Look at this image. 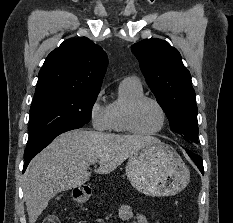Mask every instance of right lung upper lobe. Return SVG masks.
Here are the masks:
<instances>
[{
	"instance_id": "cb5924a9",
	"label": "right lung upper lobe",
	"mask_w": 233,
	"mask_h": 223,
	"mask_svg": "<svg viewBox=\"0 0 233 223\" xmlns=\"http://www.w3.org/2000/svg\"><path fill=\"white\" fill-rule=\"evenodd\" d=\"M108 58L90 39L65 40L46 58L34 96L48 92H99Z\"/></svg>"
}]
</instances>
